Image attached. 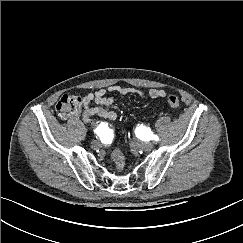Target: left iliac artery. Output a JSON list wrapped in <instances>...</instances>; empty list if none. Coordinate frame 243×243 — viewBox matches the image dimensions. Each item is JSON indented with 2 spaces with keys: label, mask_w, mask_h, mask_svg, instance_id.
<instances>
[{
  "label": "left iliac artery",
  "mask_w": 243,
  "mask_h": 243,
  "mask_svg": "<svg viewBox=\"0 0 243 243\" xmlns=\"http://www.w3.org/2000/svg\"><path fill=\"white\" fill-rule=\"evenodd\" d=\"M151 139L158 142L159 141V137L157 135H153L151 136Z\"/></svg>",
  "instance_id": "left-iliac-artery-1"
}]
</instances>
